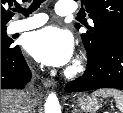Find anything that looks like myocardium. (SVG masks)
Segmentation results:
<instances>
[{"mask_svg": "<svg viewBox=\"0 0 123 113\" xmlns=\"http://www.w3.org/2000/svg\"><path fill=\"white\" fill-rule=\"evenodd\" d=\"M83 70V62L81 60L74 63L72 67H70L67 71V74L72 76Z\"/></svg>", "mask_w": 123, "mask_h": 113, "instance_id": "myocardium-1", "label": "myocardium"}]
</instances>
